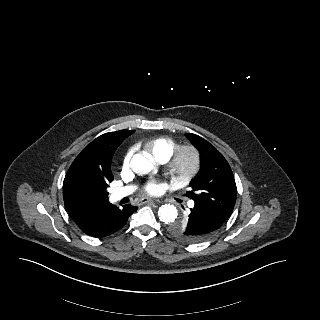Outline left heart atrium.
<instances>
[{
    "instance_id": "39dd6f15",
    "label": "left heart atrium",
    "mask_w": 320,
    "mask_h": 320,
    "mask_svg": "<svg viewBox=\"0 0 320 320\" xmlns=\"http://www.w3.org/2000/svg\"><path fill=\"white\" fill-rule=\"evenodd\" d=\"M145 191L146 193L151 195L158 194L160 191V185L155 182H150L146 185Z\"/></svg>"
}]
</instances>
